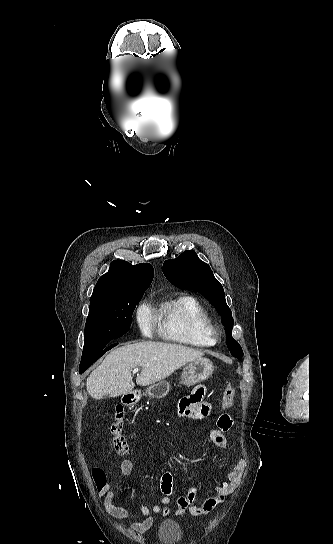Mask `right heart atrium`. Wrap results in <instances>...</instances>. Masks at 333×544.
<instances>
[{
    "label": "right heart atrium",
    "instance_id": "1",
    "mask_svg": "<svg viewBox=\"0 0 333 544\" xmlns=\"http://www.w3.org/2000/svg\"><path fill=\"white\" fill-rule=\"evenodd\" d=\"M137 321L140 329L144 334H150L153 327L152 314L149 308L145 305H142L137 312Z\"/></svg>",
    "mask_w": 333,
    "mask_h": 544
}]
</instances>
